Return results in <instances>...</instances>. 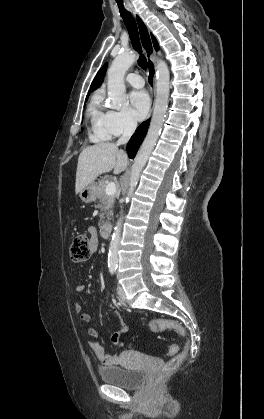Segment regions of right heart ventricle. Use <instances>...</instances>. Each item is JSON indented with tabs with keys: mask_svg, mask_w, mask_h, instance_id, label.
I'll list each match as a JSON object with an SVG mask.
<instances>
[{
	"mask_svg": "<svg viewBox=\"0 0 264 419\" xmlns=\"http://www.w3.org/2000/svg\"><path fill=\"white\" fill-rule=\"evenodd\" d=\"M109 112L102 91H96L92 95L87 109L88 137L91 142H104L111 138L108 127Z\"/></svg>",
	"mask_w": 264,
	"mask_h": 419,
	"instance_id": "e07e8e85",
	"label": "right heart ventricle"
}]
</instances>
